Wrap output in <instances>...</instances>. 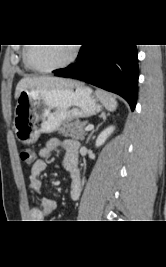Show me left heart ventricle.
<instances>
[{
    "instance_id": "obj_1",
    "label": "left heart ventricle",
    "mask_w": 166,
    "mask_h": 267,
    "mask_svg": "<svg viewBox=\"0 0 166 267\" xmlns=\"http://www.w3.org/2000/svg\"><path fill=\"white\" fill-rule=\"evenodd\" d=\"M71 50L68 45H35L31 48L30 59L37 67L49 68L66 61Z\"/></svg>"
}]
</instances>
